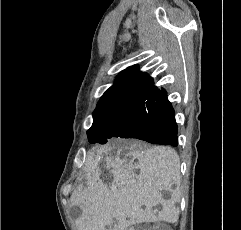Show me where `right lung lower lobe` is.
Wrapping results in <instances>:
<instances>
[{"mask_svg":"<svg viewBox=\"0 0 241 230\" xmlns=\"http://www.w3.org/2000/svg\"><path fill=\"white\" fill-rule=\"evenodd\" d=\"M144 120L145 123L135 132L136 139L152 144L177 146L178 130L174 110L164 89L159 90L146 105Z\"/></svg>","mask_w":241,"mask_h":230,"instance_id":"98d812e1","label":"right lung lower lobe"}]
</instances>
